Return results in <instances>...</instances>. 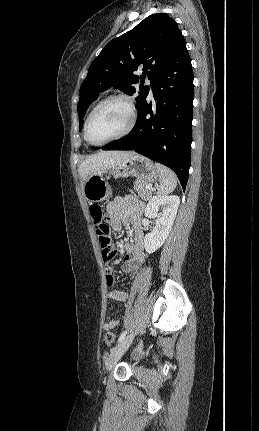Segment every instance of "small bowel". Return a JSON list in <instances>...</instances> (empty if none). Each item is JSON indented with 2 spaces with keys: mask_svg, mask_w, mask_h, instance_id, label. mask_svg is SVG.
<instances>
[{
  "mask_svg": "<svg viewBox=\"0 0 259 431\" xmlns=\"http://www.w3.org/2000/svg\"><path fill=\"white\" fill-rule=\"evenodd\" d=\"M142 209V203L132 195L118 196L107 205V219L114 229L119 230L122 225L131 228V240L123 245L126 252L123 259V270L132 278L145 261L144 234L141 225ZM105 273L108 286H112L114 284L113 267L107 266ZM128 297V292L122 290L112 289L108 293L109 299L119 302L127 301ZM118 325V319L106 318L103 327L104 330L109 331L117 328Z\"/></svg>",
  "mask_w": 259,
  "mask_h": 431,
  "instance_id": "1",
  "label": "small bowel"
}]
</instances>
